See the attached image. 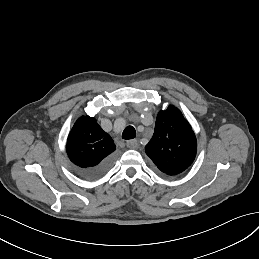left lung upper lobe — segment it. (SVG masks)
<instances>
[{
    "label": "left lung upper lobe",
    "instance_id": "left-lung-upper-lobe-1",
    "mask_svg": "<svg viewBox=\"0 0 259 259\" xmlns=\"http://www.w3.org/2000/svg\"><path fill=\"white\" fill-rule=\"evenodd\" d=\"M145 150L156 169L164 175L176 176L193 163L196 137L178 108L170 105L158 113L153 137Z\"/></svg>",
    "mask_w": 259,
    "mask_h": 259
}]
</instances>
